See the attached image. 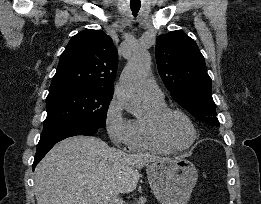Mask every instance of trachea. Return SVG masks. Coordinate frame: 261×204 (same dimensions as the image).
<instances>
[{
	"label": "trachea",
	"instance_id": "3493384b",
	"mask_svg": "<svg viewBox=\"0 0 261 204\" xmlns=\"http://www.w3.org/2000/svg\"><path fill=\"white\" fill-rule=\"evenodd\" d=\"M130 7H131V10H132V12H133V15L136 16L137 13H138L139 10H140L141 5H140V4H138V5H133V4H131Z\"/></svg>",
	"mask_w": 261,
	"mask_h": 204
}]
</instances>
